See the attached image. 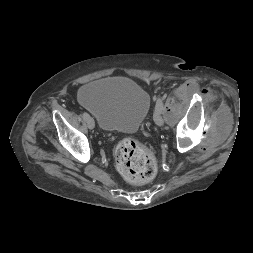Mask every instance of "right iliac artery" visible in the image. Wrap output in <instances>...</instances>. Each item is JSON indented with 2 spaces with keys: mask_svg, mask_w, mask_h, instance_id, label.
<instances>
[{
  "mask_svg": "<svg viewBox=\"0 0 253 253\" xmlns=\"http://www.w3.org/2000/svg\"><path fill=\"white\" fill-rule=\"evenodd\" d=\"M82 116H83V118L86 120V119L89 117V114L86 113V112H84V113L82 114Z\"/></svg>",
  "mask_w": 253,
  "mask_h": 253,
  "instance_id": "right-iliac-artery-1",
  "label": "right iliac artery"
}]
</instances>
